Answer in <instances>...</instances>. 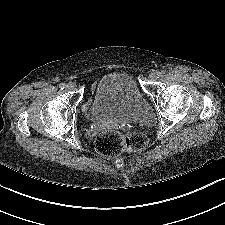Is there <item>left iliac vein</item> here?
<instances>
[{
  "label": "left iliac vein",
  "instance_id": "4c4485c4",
  "mask_svg": "<svg viewBox=\"0 0 225 225\" xmlns=\"http://www.w3.org/2000/svg\"><path fill=\"white\" fill-rule=\"evenodd\" d=\"M149 78L152 80V81H155L157 78H158V73L157 72H153L149 75Z\"/></svg>",
  "mask_w": 225,
  "mask_h": 225
}]
</instances>
